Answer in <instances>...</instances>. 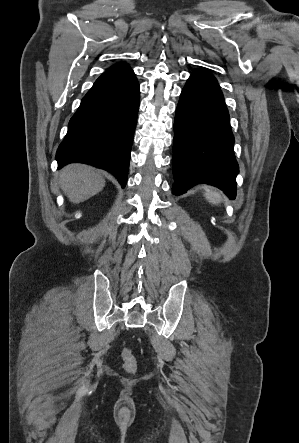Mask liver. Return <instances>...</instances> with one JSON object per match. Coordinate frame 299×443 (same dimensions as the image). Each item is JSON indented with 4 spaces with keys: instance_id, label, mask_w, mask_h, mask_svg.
I'll return each instance as SVG.
<instances>
[{
    "instance_id": "6515ba94",
    "label": "liver",
    "mask_w": 299,
    "mask_h": 443,
    "mask_svg": "<svg viewBox=\"0 0 299 443\" xmlns=\"http://www.w3.org/2000/svg\"><path fill=\"white\" fill-rule=\"evenodd\" d=\"M59 185L67 198L78 204L99 193L105 186V180L96 168L72 163L61 169Z\"/></svg>"
}]
</instances>
